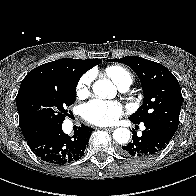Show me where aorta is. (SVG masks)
Returning <instances> with one entry per match:
<instances>
[{
    "mask_svg": "<svg viewBox=\"0 0 196 196\" xmlns=\"http://www.w3.org/2000/svg\"><path fill=\"white\" fill-rule=\"evenodd\" d=\"M93 92L101 99H111L116 95V88L108 79L97 80L93 84ZM130 131L127 128H117L113 133L114 140L119 144L128 143L130 139Z\"/></svg>",
    "mask_w": 196,
    "mask_h": 196,
    "instance_id": "obj_1",
    "label": "aorta"
}]
</instances>
